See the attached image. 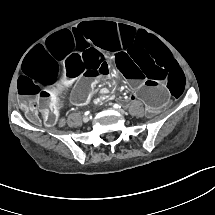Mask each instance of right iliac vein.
<instances>
[{"instance_id":"1","label":"right iliac vein","mask_w":215,"mask_h":215,"mask_svg":"<svg viewBox=\"0 0 215 215\" xmlns=\"http://www.w3.org/2000/svg\"><path fill=\"white\" fill-rule=\"evenodd\" d=\"M88 120H89V117H88V116H84V117H83V121H84V122H87Z\"/></svg>"}]
</instances>
